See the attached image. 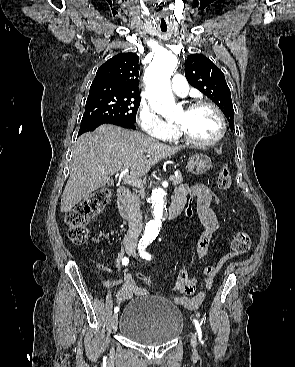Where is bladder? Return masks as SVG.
<instances>
[{"label":"bladder","instance_id":"1","mask_svg":"<svg viewBox=\"0 0 295 367\" xmlns=\"http://www.w3.org/2000/svg\"><path fill=\"white\" fill-rule=\"evenodd\" d=\"M123 336L144 345L156 346L176 339L183 329L179 308L168 299L144 295L129 301L120 316Z\"/></svg>","mask_w":295,"mask_h":367}]
</instances>
